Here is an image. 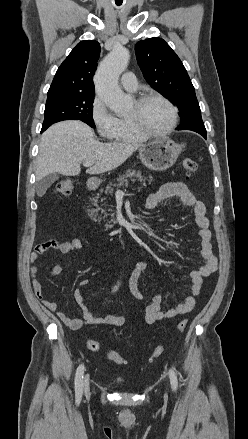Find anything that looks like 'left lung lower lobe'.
<instances>
[{
  "label": "left lung lower lobe",
  "instance_id": "1",
  "mask_svg": "<svg viewBox=\"0 0 248 439\" xmlns=\"http://www.w3.org/2000/svg\"><path fill=\"white\" fill-rule=\"evenodd\" d=\"M204 138H206V133L201 134Z\"/></svg>",
  "mask_w": 248,
  "mask_h": 439
}]
</instances>
